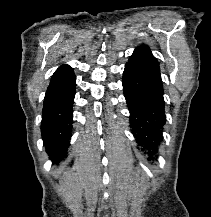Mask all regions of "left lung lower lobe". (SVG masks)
Segmentation results:
<instances>
[{
  "label": "left lung lower lobe",
  "mask_w": 211,
  "mask_h": 217,
  "mask_svg": "<svg viewBox=\"0 0 211 217\" xmlns=\"http://www.w3.org/2000/svg\"><path fill=\"white\" fill-rule=\"evenodd\" d=\"M122 83L133 134L142 151L153 157L154 148L162 140V126L166 121L163 86L128 64L125 65Z\"/></svg>",
  "instance_id": "0a47b994"
}]
</instances>
